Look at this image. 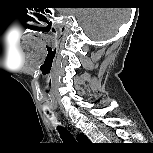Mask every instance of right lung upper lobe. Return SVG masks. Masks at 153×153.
<instances>
[{
  "label": "right lung upper lobe",
  "instance_id": "1",
  "mask_svg": "<svg viewBox=\"0 0 153 153\" xmlns=\"http://www.w3.org/2000/svg\"><path fill=\"white\" fill-rule=\"evenodd\" d=\"M77 139H78L79 142H88V138L83 134H79L77 136Z\"/></svg>",
  "mask_w": 153,
  "mask_h": 153
}]
</instances>
